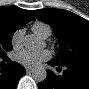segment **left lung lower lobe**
Instances as JSON below:
<instances>
[{
	"label": "left lung lower lobe",
	"mask_w": 89,
	"mask_h": 89,
	"mask_svg": "<svg viewBox=\"0 0 89 89\" xmlns=\"http://www.w3.org/2000/svg\"><path fill=\"white\" fill-rule=\"evenodd\" d=\"M51 66H62L54 60L48 62ZM62 75L57 76L47 70V77L38 84L39 89H89V63L65 65ZM58 67L57 69H59ZM61 69V68H60Z\"/></svg>",
	"instance_id": "left-lung-lower-lobe-1"
}]
</instances>
